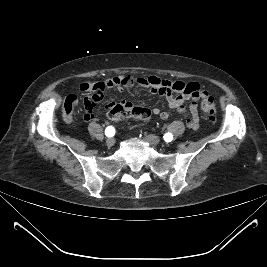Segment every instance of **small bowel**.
Here are the masks:
<instances>
[{
    "label": "small bowel",
    "mask_w": 267,
    "mask_h": 267,
    "mask_svg": "<svg viewBox=\"0 0 267 267\" xmlns=\"http://www.w3.org/2000/svg\"><path fill=\"white\" fill-rule=\"evenodd\" d=\"M134 85H139L148 89L152 93H157L165 98L172 111L180 112L187 117V126L197 131L199 129V113L197 101L204 99L208 93L202 88L198 82H183L163 79L157 76L133 77L129 75L111 77L99 82H86L81 85V90L87 95L84 98L85 113L84 118L87 121L96 118L95 107L103 99V92L109 88L122 90ZM191 100V104L187 110L185 102ZM79 99L77 95H68L63 103V115L66 122H71L74 109L77 107ZM132 103L126 98H122L119 102H111L108 109L116 107L129 108ZM152 113L161 119H167L170 112L153 108Z\"/></svg>",
    "instance_id": "small-bowel-1"
}]
</instances>
